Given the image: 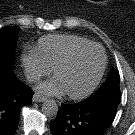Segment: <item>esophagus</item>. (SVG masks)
<instances>
[{"label":"esophagus","instance_id":"esophagus-1","mask_svg":"<svg viewBox=\"0 0 135 135\" xmlns=\"http://www.w3.org/2000/svg\"><path fill=\"white\" fill-rule=\"evenodd\" d=\"M46 100V97L42 96V95H39V94H34L33 95V101L34 102H43Z\"/></svg>","mask_w":135,"mask_h":135}]
</instances>
